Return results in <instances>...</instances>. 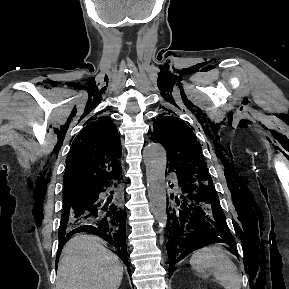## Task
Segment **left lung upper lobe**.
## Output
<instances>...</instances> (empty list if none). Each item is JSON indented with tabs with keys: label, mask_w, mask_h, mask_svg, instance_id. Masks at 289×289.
<instances>
[{
	"label": "left lung upper lobe",
	"mask_w": 289,
	"mask_h": 289,
	"mask_svg": "<svg viewBox=\"0 0 289 289\" xmlns=\"http://www.w3.org/2000/svg\"><path fill=\"white\" fill-rule=\"evenodd\" d=\"M151 133L154 142L167 150L169 170L188 178L213 186L207 164L192 131L183 121L173 116L159 115Z\"/></svg>",
	"instance_id": "obj_1"
}]
</instances>
